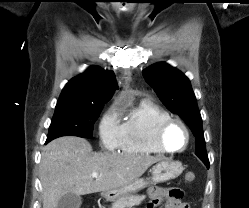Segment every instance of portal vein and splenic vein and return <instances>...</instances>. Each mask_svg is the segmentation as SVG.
<instances>
[{"label": "portal vein and splenic vein", "instance_id": "1", "mask_svg": "<svg viewBox=\"0 0 249 208\" xmlns=\"http://www.w3.org/2000/svg\"><path fill=\"white\" fill-rule=\"evenodd\" d=\"M91 176H92L93 178H97V177H98V174H97V173H93Z\"/></svg>", "mask_w": 249, "mask_h": 208}]
</instances>
